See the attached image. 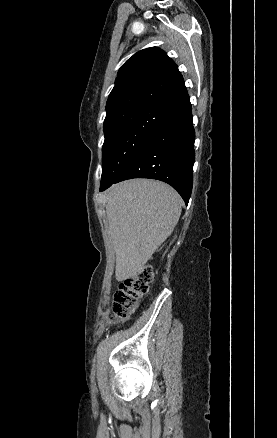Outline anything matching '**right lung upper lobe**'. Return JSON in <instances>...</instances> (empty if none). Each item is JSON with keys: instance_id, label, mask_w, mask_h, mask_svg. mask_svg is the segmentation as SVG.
I'll return each instance as SVG.
<instances>
[{"instance_id": "obj_1", "label": "right lung upper lobe", "mask_w": 277, "mask_h": 438, "mask_svg": "<svg viewBox=\"0 0 277 438\" xmlns=\"http://www.w3.org/2000/svg\"><path fill=\"white\" fill-rule=\"evenodd\" d=\"M186 95L183 78L175 63L161 49L147 48L135 53L120 68L107 100L105 119L167 111Z\"/></svg>"}]
</instances>
